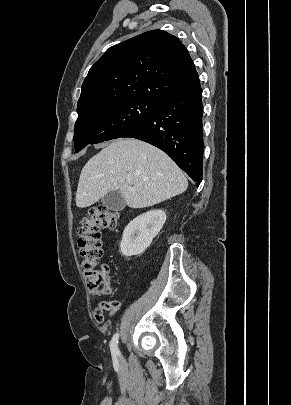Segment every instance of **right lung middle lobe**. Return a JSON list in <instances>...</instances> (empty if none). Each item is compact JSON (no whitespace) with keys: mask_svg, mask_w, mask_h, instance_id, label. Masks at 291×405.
<instances>
[{"mask_svg":"<svg viewBox=\"0 0 291 405\" xmlns=\"http://www.w3.org/2000/svg\"><path fill=\"white\" fill-rule=\"evenodd\" d=\"M158 105L159 100L131 97L77 110L73 137L75 151L79 152L88 144L123 137L144 123Z\"/></svg>","mask_w":291,"mask_h":405,"instance_id":"1","label":"right lung middle lobe"}]
</instances>
